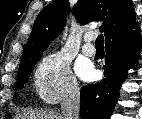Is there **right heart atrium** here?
<instances>
[{"label": "right heart atrium", "instance_id": "obj_1", "mask_svg": "<svg viewBox=\"0 0 142 119\" xmlns=\"http://www.w3.org/2000/svg\"><path fill=\"white\" fill-rule=\"evenodd\" d=\"M33 85L38 97L49 104L76 99L80 94L68 61L58 51L45 55L37 64Z\"/></svg>", "mask_w": 142, "mask_h": 119}]
</instances>
